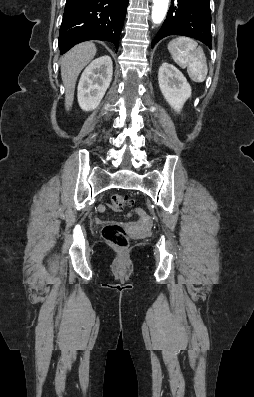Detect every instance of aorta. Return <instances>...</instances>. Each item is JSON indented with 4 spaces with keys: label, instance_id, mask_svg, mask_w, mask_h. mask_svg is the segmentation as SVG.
Returning a JSON list of instances; mask_svg holds the SVG:
<instances>
[{
    "label": "aorta",
    "instance_id": "1",
    "mask_svg": "<svg viewBox=\"0 0 254 397\" xmlns=\"http://www.w3.org/2000/svg\"><path fill=\"white\" fill-rule=\"evenodd\" d=\"M169 0H153L152 21L154 24H160L168 10Z\"/></svg>",
    "mask_w": 254,
    "mask_h": 397
}]
</instances>
